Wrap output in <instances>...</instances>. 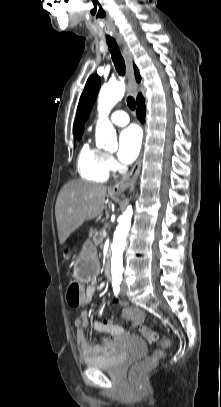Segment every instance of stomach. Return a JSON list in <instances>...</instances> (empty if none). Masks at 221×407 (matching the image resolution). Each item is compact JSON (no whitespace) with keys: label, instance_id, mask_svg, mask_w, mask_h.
Returning a JSON list of instances; mask_svg holds the SVG:
<instances>
[{"label":"stomach","instance_id":"obj_1","mask_svg":"<svg viewBox=\"0 0 221 407\" xmlns=\"http://www.w3.org/2000/svg\"><path fill=\"white\" fill-rule=\"evenodd\" d=\"M98 269V260L95 252L91 249L83 248L73 263L75 278L81 282L93 280Z\"/></svg>","mask_w":221,"mask_h":407}]
</instances>
